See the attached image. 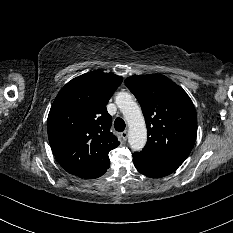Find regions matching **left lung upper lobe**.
Returning a JSON list of instances; mask_svg holds the SVG:
<instances>
[{"mask_svg":"<svg viewBox=\"0 0 233 233\" xmlns=\"http://www.w3.org/2000/svg\"><path fill=\"white\" fill-rule=\"evenodd\" d=\"M125 84L145 117L148 138L141 152L181 165L197 135V115L190 97L159 74L134 75Z\"/></svg>","mask_w":233,"mask_h":233,"instance_id":"5c2ea615","label":"left lung upper lobe"}]
</instances>
